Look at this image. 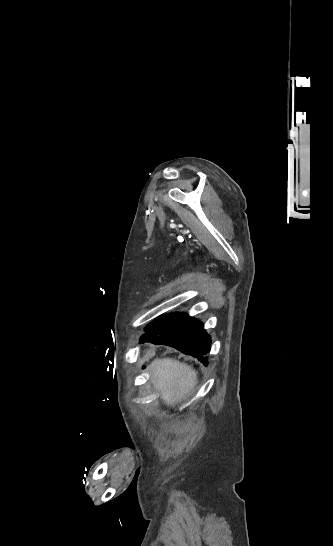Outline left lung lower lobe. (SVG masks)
<instances>
[{
	"label": "left lung lower lobe",
	"instance_id": "1",
	"mask_svg": "<svg viewBox=\"0 0 333 546\" xmlns=\"http://www.w3.org/2000/svg\"><path fill=\"white\" fill-rule=\"evenodd\" d=\"M141 343L167 345L197 358L207 365L206 355L211 349V339L204 324L185 312L164 314L145 327Z\"/></svg>",
	"mask_w": 333,
	"mask_h": 546
}]
</instances>
